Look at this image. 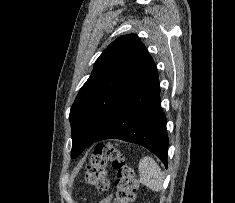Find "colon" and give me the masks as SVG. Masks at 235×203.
<instances>
[{
	"label": "colon",
	"mask_w": 235,
	"mask_h": 203,
	"mask_svg": "<svg viewBox=\"0 0 235 203\" xmlns=\"http://www.w3.org/2000/svg\"><path fill=\"white\" fill-rule=\"evenodd\" d=\"M109 165L115 170L116 194L113 203H132L137 190L134 171L120 150L111 144H100L95 147L85 169L86 181L97 191H106L109 188Z\"/></svg>",
	"instance_id": "1"
}]
</instances>
